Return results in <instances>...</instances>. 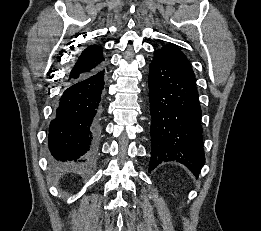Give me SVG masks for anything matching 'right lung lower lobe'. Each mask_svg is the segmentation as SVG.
Instances as JSON below:
<instances>
[{
	"instance_id": "obj_1",
	"label": "right lung lower lobe",
	"mask_w": 261,
	"mask_h": 231,
	"mask_svg": "<svg viewBox=\"0 0 261 231\" xmlns=\"http://www.w3.org/2000/svg\"><path fill=\"white\" fill-rule=\"evenodd\" d=\"M105 79L102 66L69 82L61 93L48 135L54 164L82 163L95 154Z\"/></svg>"
}]
</instances>
